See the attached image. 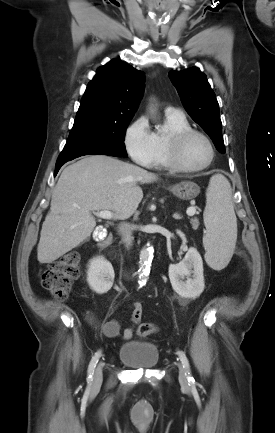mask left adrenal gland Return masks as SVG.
I'll return each instance as SVG.
<instances>
[{
	"label": "left adrenal gland",
	"instance_id": "obj_1",
	"mask_svg": "<svg viewBox=\"0 0 275 433\" xmlns=\"http://www.w3.org/2000/svg\"><path fill=\"white\" fill-rule=\"evenodd\" d=\"M173 218H175V219H181V217L178 214H174Z\"/></svg>",
	"mask_w": 275,
	"mask_h": 433
}]
</instances>
